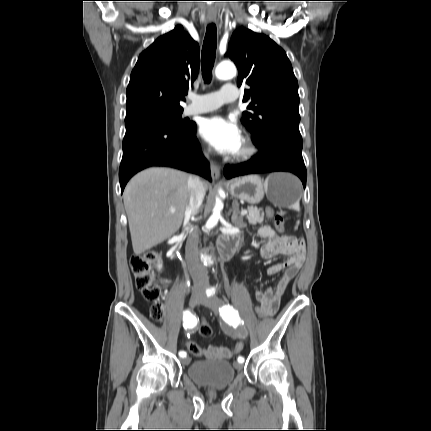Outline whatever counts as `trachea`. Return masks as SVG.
Here are the masks:
<instances>
[{
  "label": "trachea",
  "mask_w": 431,
  "mask_h": 431,
  "mask_svg": "<svg viewBox=\"0 0 431 431\" xmlns=\"http://www.w3.org/2000/svg\"><path fill=\"white\" fill-rule=\"evenodd\" d=\"M217 47L216 25L211 23L207 26L206 35L202 47L201 68L205 83L209 84L212 80V69L215 62Z\"/></svg>",
  "instance_id": "3493384b"
}]
</instances>
